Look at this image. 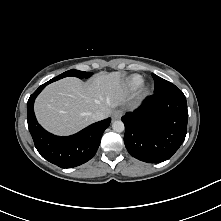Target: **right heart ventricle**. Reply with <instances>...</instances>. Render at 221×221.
<instances>
[{"instance_id":"1","label":"right heart ventricle","mask_w":221,"mask_h":221,"mask_svg":"<svg viewBox=\"0 0 221 221\" xmlns=\"http://www.w3.org/2000/svg\"><path fill=\"white\" fill-rule=\"evenodd\" d=\"M143 83V78L140 75H132L128 78L126 84L128 89L136 90L139 88Z\"/></svg>"}]
</instances>
